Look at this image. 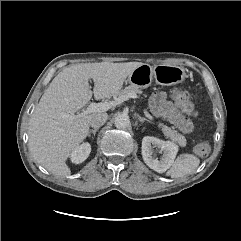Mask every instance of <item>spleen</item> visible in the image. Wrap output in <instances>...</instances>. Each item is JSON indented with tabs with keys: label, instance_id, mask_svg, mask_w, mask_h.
Instances as JSON below:
<instances>
[{
	"label": "spleen",
	"instance_id": "spleen-1",
	"mask_svg": "<svg viewBox=\"0 0 241 241\" xmlns=\"http://www.w3.org/2000/svg\"><path fill=\"white\" fill-rule=\"evenodd\" d=\"M200 164V160L193 154H182L172 163L166 175L179 178L192 173Z\"/></svg>",
	"mask_w": 241,
	"mask_h": 241
}]
</instances>
